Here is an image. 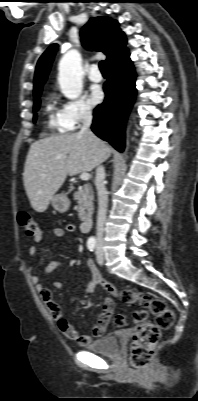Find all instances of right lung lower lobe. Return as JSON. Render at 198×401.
I'll return each mask as SVG.
<instances>
[{
    "label": "right lung lower lobe",
    "mask_w": 198,
    "mask_h": 401,
    "mask_svg": "<svg viewBox=\"0 0 198 401\" xmlns=\"http://www.w3.org/2000/svg\"><path fill=\"white\" fill-rule=\"evenodd\" d=\"M109 78L104 84L105 100L94 109L92 131L122 152L125 122L134 102L135 71L128 50L108 65Z\"/></svg>",
    "instance_id": "1"
}]
</instances>
